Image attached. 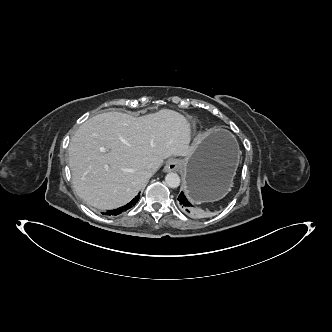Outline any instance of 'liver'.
<instances>
[{"label": "liver", "mask_w": 332, "mask_h": 332, "mask_svg": "<svg viewBox=\"0 0 332 332\" xmlns=\"http://www.w3.org/2000/svg\"><path fill=\"white\" fill-rule=\"evenodd\" d=\"M190 144V124L180 113L163 109L134 118L107 112L84 122L71 138L68 153L73 188L88 204L114 209L127 204L163 160L190 156L201 142Z\"/></svg>", "instance_id": "1"}]
</instances>
